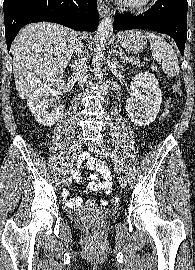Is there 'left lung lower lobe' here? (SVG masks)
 Here are the masks:
<instances>
[{"label":"left lung lower lobe","instance_id":"left-lung-lower-lobe-1","mask_svg":"<svg viewBox=\"0 0 195 270\" xmlns=\"http://www.w3.org/2000/svg\"><path fill=\"white\" fill-rule=\"evenodd\" d=\"M187 0H157L140 15L115 14L113 30L150 29L171 36L184 55L187 39Z\"/></svg>","mask_w":195,"mask_h":270}]
</instances>
